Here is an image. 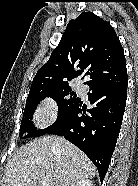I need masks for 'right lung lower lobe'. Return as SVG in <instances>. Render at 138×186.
<instances>
[{
	"instance_id": "right-lung-lower-lobe-1",
	"label": "right lung lower lobe",
	"mask_w": 138,
	"mask_h": 186,
	"mask_svg": "<svg viewBox=\"0 0 138 186\" xmlns=\"http://www.w3.org/2000/svg\"><path fill=\"white\" fill-rule=\"evenodd\" d=\"M87 112L81 100L48 134L63 136L81 149L97 167L101 181L108 170L116 146L127 98V77L110 83L87 84Z\"/></svg>"
}]
</instances>
